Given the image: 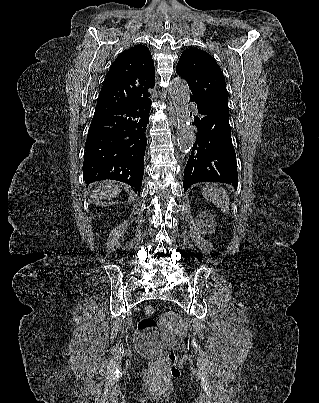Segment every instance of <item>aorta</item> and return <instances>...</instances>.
I'll use <instances>...</instances> for the list:
<instances>
[{"label":"aorta","mask_w":319,"mask_h":403,"mask_svg":"<svg viewBox=\"0 0 319 403\" xmlns=\"http://www.w3.org/2000/svg\"><path fill=\"white\" fill-rule=\"evenodd\" d=\"M169 93L177 116V141L180 151L186 153L191 150L195 142L194 131L190 124L189 98L190 90L185 80L172 79Z\"/></svg>","instance_id":"762f6f07"}]
</instances>
